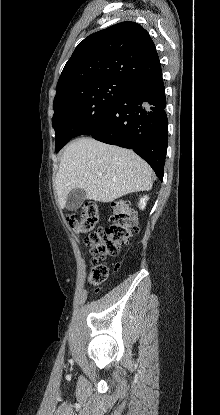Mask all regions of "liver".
<instances>
[{
	"instance_id": "1",
	"label": "liver",
	"mask_w": 220,
	"mask_h": 415,
	"mask_svg": "<svg viewBox=\"0 0 220 415\" xmlns=\"http://www.w3.org/2000/svg\"><path fill=\"white\" fill-rule=\"evenodd\" d=\"M153 171L133 151L92 138L74 140L65 149L55 178L60 208L69 192L83 189L86 198L112 202L123 195L152 188Z\"/></svg>"
}]
</instances>
